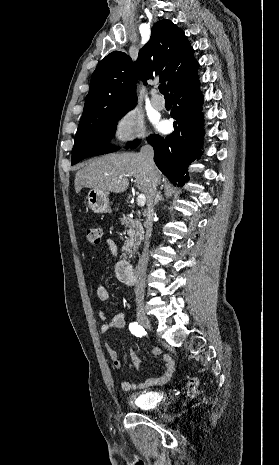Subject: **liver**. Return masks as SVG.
Returning a JSON list of instances; mask_svg holds the SVG:
<instances>
[{
	"label": "liver",
	"mask_w": 279,
	"mask_h": 465,
	"mask_svg": "<svg viewBox=\"0 0 279 465\" xmlns=\"http://www.w3.org/2000/svg\"><path fill=\"white\" fill-rule=\"evenodd\" d=\"M123 176L122 179L119 177ZM128 177H134L136 187L146 198L149 195V174L140 153H113L89 160L75 175L76 193L82 188L122 193L129 185ZM158 183L162 174L157 170Z\"/></svg>",
	"instance_id": "liver-1"
}]
</instances>
